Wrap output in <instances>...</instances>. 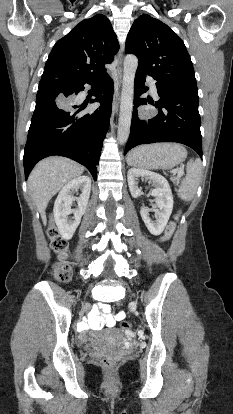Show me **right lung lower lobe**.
I'll return each instance as SVG.
<instances>
[{"instance_id": "1", "label": "right lung lower lobe", "mask_w": 233, "mask_h": 414, "mask_svg": "<svg viewBox=\"0 0 233 414\" xmlns=\"http://www.w3.org/2000/svg\"><path fill=\"white\" fill-rule=\"evenodd\" d=\"M71 82L66 87H41L37 92L23 157L25 179L39 160L60 155L84 165L96 180L111 116L113 81L106 73L99 78ZM86 83L98 85L94 93L96 98L90 103L100 102L101 105L93 111L86 110L88 102L78 105L74 101V96L84 90Z\"/></svg>"}]
</instances>
